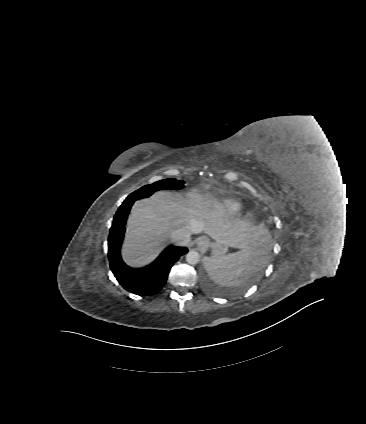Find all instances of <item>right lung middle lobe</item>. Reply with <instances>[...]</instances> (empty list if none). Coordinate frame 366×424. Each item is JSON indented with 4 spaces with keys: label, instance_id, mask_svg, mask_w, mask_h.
<instances>
[{
    "label": "right lung middle lobe",
    "instance_id": "1",
    "mask_svg": "<svg viewBox=\"0 0 366 424\" xmlns=\"http://www.w3.org/2000/svg\"><path fill=\"white\" fill-rule=\"evenodd\" d=\"M184 187V181H178L174 178L160 180L131 193L124 202L135 201L141 198L149 197L151 194L162 189H181Z\"/></svg>",
    "mask_w": 366,
    "mask_h": 424
}]
</instances>
